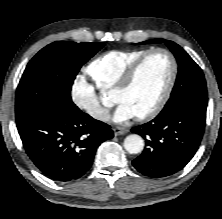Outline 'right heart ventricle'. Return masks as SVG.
I'll return each mask as SVG.
<instances>
[{
    "mask_svg": "<svg viewBox=\"0 0 222 219\" xmlns=\"http://www.w3.org/2000/svg\"><path fill=\"white\" fill-rule=\"evenodd\" d=\"M147 50L130 49L105 52L91 61L85 71L100 90H112L131 63Z\"/></svg>",
    "mask_w": 222,
    "mask_h": 219,
    "instance_id": "right-heart-ventricle-1",
    "label": "right heart ventricle"
}]
</instances>
